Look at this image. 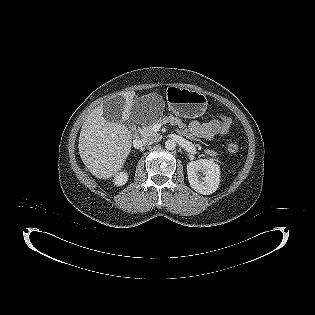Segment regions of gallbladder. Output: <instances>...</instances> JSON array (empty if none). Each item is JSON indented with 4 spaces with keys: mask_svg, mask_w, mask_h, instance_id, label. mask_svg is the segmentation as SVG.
<instances>
[{
    "mask_svg": "<svg viewBox=\"0 0 315 315\" xmlns=\"http://www.w3.org/2000/svg\"><path fill=\"white\" fill-rule=\"evenodd\" d=\"M124 104V99L119 96L105 102L103 104V117L109 122H123Z\"/></svg>",
    "mask_w": 315,
    "mask_h": 315,
    "instance_id": "bac80fb5",
    "label": "gallbladder"
}]
</instances>
